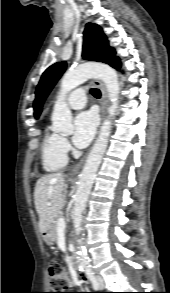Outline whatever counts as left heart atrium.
I'll list each match as a JSON object with an SVG mask.
<instances>
[{"label":"left heart atrium","instance_id":"left-heart-atrium-1","mask_svg":"<svg viewBox=\"0 0 170 293\" xmlns=\"http://www.w3.org/2000/svg\"><path fill=\"white\" fill-rule=\"evenodd\" d=\"M72 141L79 148L86 147L95 135L97 117L91 111L80 113L74 120Z\"/></svg>","mask_w":170,"mask_h":293}]
</instances>
